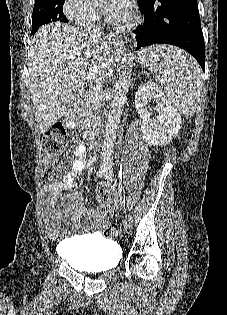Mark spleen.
I'll return each mask as SVG.
<instances>
[{
    "mask_svg": "<svg viewBox=\"0 0 227 315\" xmlns=\"http://www.w3.org/2000/svg\"><path fill=\"white\" fill-rule=\"evenodd\" d=\"M140 63L155 73L166 98L184 116L194 115L203 89V76L196 61L182 50L166 45L147 48Z\"/></svg>",
    "mask_w": 227,
    "mask_h": 315,
    "instance_id": "1",
    "label": "spleen"
}]
</instances>
